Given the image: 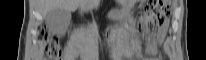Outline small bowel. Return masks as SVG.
<instances>
[{"label": "small bowel", "mask_w": 206, "mask_h": 60, "mask_svg": "<svg viewBox=\"0 0 206 60\" xmlns=\"http://www.w3.org/2000/svg\"><path fill=\"white\" fill-rule=\"evenodd\" d=\"M166 30H167V25H162L159 30H158V34H157V41L158 42H161L165 36V33H166Z\"/></svg>", "instance_id": "1"}]
</instances>
